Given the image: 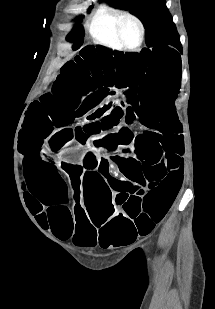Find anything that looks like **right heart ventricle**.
I'll return each mask as SVG.
<instances>
[{
  "label": "right heart ventricle",
  "mask_w": 215,
  "mask_h": 309,
  "mask_svg": "<svg viewBox=\"0 0 215 309\" xmlns=\"http://www.w3.org/2000/svg\"><path fill=\"white\" fill-rule=\"evenodd\" d=\"M119 11H103L97 14L96 19H92L90 28L92 40L94 43L111 48H121L119 42L115 39L111 30H116L117 25L113 18L117 16Z\"/></svg>",
  "instance_id": "obj_1"
}]
</instances>
